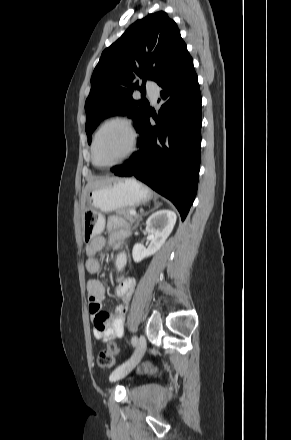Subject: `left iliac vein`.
<instances>
[{"label":"left iliac vein","instance_id":"4c4485c4","mask_svg":"<svg viewBox=\"0 0 291 440\" xmlns=\"http://www.w3.org/2000/svg\"><path fill=\"white\" fill-rule=\"evenodd\" d=\"M146 350V340L144 336H140L137 347L131 356V358L123 363L122 365L118 366L111 374H110V381L114 382L117 380H120L124 378L126 375H128L135 366L140 362L141 358L143 357Z\"/></svg>","mask_w":291,"mask_h":440}]
</instances>
